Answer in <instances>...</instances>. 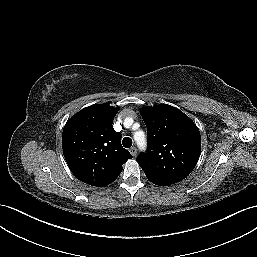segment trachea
I'll list each match as a JSON object with an SVG mask.
<instances>
[{"instance_id":"trachea-1","label":"trachea","mask_w":257,"mask_h":257,"mask_svg":"<svg viewBox=\"0 0 257 257\" xmlns=\"http://www.w3.org/2000/svg\"><path fill=\"white\" fill-rule=\"evenodd\" d=\"M122 144L125 148H130L132 146V139L129 137H125L122 141Z\"/></svg>"}]
</instances>
